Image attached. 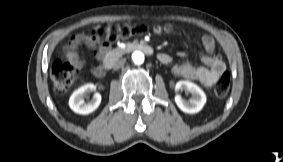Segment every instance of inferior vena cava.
I'll return each mask as SVG.
<instances>
[{
	"instance_id": "1",
	"label": "inferior vena cava",
	"mask_w": 283,
	"mask_h": 162,
	"mask_svg": "<svg viewBox=\"0 0 283 162\" xmlns=\"http://www.w3.org/2000/svg\"><path fill=\"white\" fill-rule=\"evenodd\" d=\"M124 64H125V60H124V59H120V60H118V61L114 64L113 69L117 70V69L123 67Z\"/></svg>"
}]
</instances>
